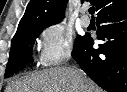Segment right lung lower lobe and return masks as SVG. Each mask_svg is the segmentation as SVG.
Listing matches in <instances>:
<instances>
[{
    "label": "right lung lower lobe",
    "instance_id": "obj_1",
    "mask_svg": "<svg viewBox=\"0 0 127 92\" xmlns=\"http://www.w3.org/2000/svg\"><path fill=\"white\" fill-rule=\"evenodd\" d=\"M97 24V38L107 41L94 49L92 37L86 34L72 56L106 91L127 92V7L101 14Z\"/></svg>",
    "mask_w": 127,
    "mask_h": 92
}]
</instances>
